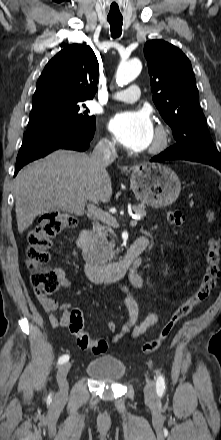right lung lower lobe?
<instances>
[{"label": "right lung lower lobe", "instance_id": "1", "mask_svg": "<svg viewBox=\"0 0 221 440\" xmlns=\"http://www.w3.org/2000/svg\"><path fill=\"white\" fill-rule=\"evenodd\" d=\"M94 132L71 131L57 127H39L27 130L16 159L18 171L29 162L42 158L59 148L85 151L94 136Z\"/></svg>", "mask_w": 221, "mask_h": 440}]
</instances>
